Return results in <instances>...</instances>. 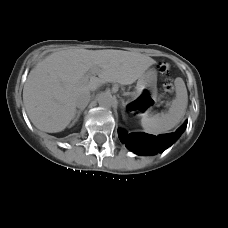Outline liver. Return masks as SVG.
Listing matches in <instances>:
<instances>
[{
  "instance_id": "1",
  "label": "liver",
  "mask_w": 228,
  "mask_h": 228,
  "mask_svg": "<svg viewBox=\"0 0 228 228\" xmlns=\"http://www.w3.org/2000/svg\"><path fill=\"white\" fill-rule=\"evenodd\" d=\"M155 60L122 50L70 49L55 52L29 73L23 88V102L31 122L41 131H63L76 114L75 96L95 91L104 83L130 85ZM87 72L98 76L84 81Z\"/></svg>"
}]
</instances>
